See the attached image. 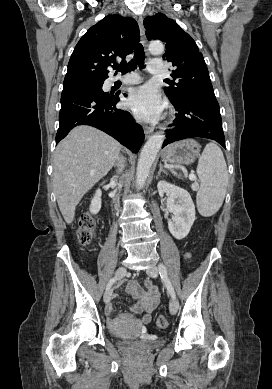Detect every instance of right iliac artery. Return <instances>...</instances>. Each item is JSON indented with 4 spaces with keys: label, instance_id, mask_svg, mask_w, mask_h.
I'll list each match as a JSON object with an SVG mask.
<instances>
[{
    "label": "right iliac artery",
    "instance_id": "1",
    "mask_svg": "<svg viewBox=\"0 0 272 389\" xmlns=\"http://www.w3.org/2000/svg\"><path fill=\"white\" fill-rule=\"evenodd\" d=\"M116 281V278H111L110 281L108 282L107 286H106V291H108L111 286L113 285V283Z\"/></svg>",
    "mask_w": 272,
    "mask_h": 389
}]
</instances>
